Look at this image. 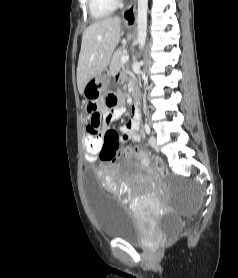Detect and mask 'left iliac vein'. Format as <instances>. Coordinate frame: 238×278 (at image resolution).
<instances>
[{"instance_id":"left-iliac-vein-1","label":"left iliac vein","mask_w":238,"mask_h":278,"mask_svg":"<svg viewBox=\"0 0 238 278\" xmlns=\"http://www.w3.org/2000/svg\"><path fill=\"white\" fill-rule=\"evenodd\" d=\"M149 141H150L151 146H152L156 151H159V146H158V144H157V140H156L155 136L151 135L150 138H149Z\"/></svg>"}]
</instances>
